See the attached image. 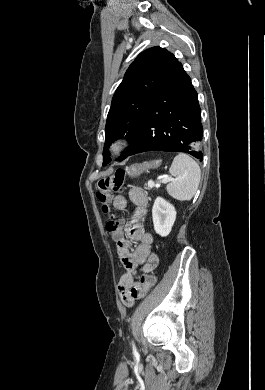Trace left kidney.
<instances>
[{
    "mask_svg": "<svg viewBox=\"0 0 265 390\" xmlns=\"http://www.w3.org/2000/svg\"><path fill=\"white\" fill-rule=\"evenodd\" d=\"M152 218L155 232L166 237L171 232L175 222L176 210L168 201L157 197L152 208Z\"/></svg>",
    "mask_w": 265,
    "mask_h": 390,
    "instance_id": "obj_1",
    "label": "left kidney"
}]
</instances>
